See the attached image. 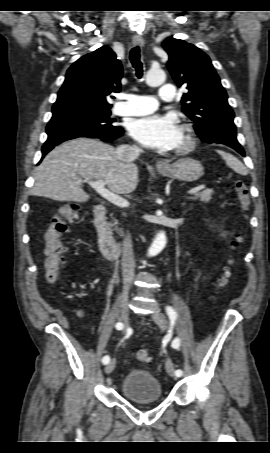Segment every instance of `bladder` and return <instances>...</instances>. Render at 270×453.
I'll list each match as a JSON object with an SVG mask.
<instances>
[{"mask_svg":"<svg viewBox=\"0 0 270 453\" xmlns=\"http://www.w3.org/2000/svg\"><path fill=\"white\" fill-rule=\"evenodd\" d=\"M122 395L134 403L158 402L163 399L161 382L152 373L130 370L120 384Z\"/></svg>","mask_w":270,"mask_h":453,"instance_id":"obj_1","label":"bladder"}]
</instances>
